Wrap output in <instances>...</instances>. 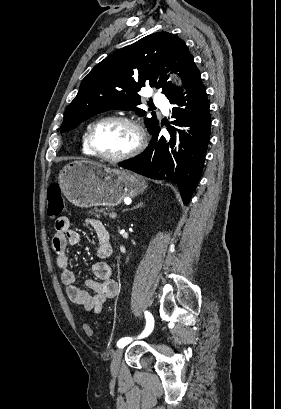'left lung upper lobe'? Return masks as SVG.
<instances>
[{"instance_id": "1", "label": "left lung upper lobe", "mask_w": 281, "mask_h": 409, "mask_svg": "<svg viewBox=\"0 0 281 409\" xmlns=\"http://www.w3.org/2000/svg\"><path fill=\"white\" fill-rule=\"evenodd\" d=\"M196 69L193 56L179 37L168 32L148 35L92 69L66 109L61 129L69 131L89 117L113 109H134L144 115V110L136 108L141 104V97L137 94L141 87L162 88L170 100L182 89L167 82V72H179L187 86ZM152 115V118L145 119L151 134L158 127L155 112Z\"/></svg>"}]
</instances>
